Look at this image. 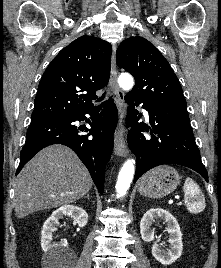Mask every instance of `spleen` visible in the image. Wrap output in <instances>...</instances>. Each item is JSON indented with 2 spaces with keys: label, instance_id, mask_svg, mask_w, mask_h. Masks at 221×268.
I'll return each instance as SVG.
<instances>
[{
  "label": "spleen",
  "instance_id": "3e777b00",
  "mask_svg": "<svg viewBox=\"0 0 221 268\" xmlns=\"http://www.w3.org/2000/svg\"><path fill=\"white\" fill-rule=\"evenodd\" d=\"M185 205L189 212L197 214L205 209V198L198 184L191 178H186L183 186Z\"/></svg>",
  "mask_w": 221,
  "mask_h": 268
}]
</instances>
